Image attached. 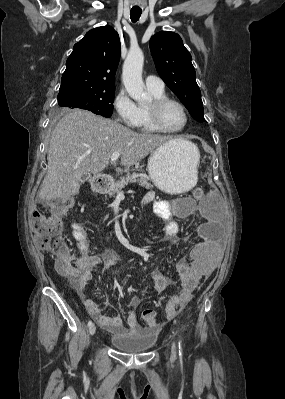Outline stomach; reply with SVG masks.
<instances>
[{
	"instance_id": "stomach-1",
	"label": "stomach",
	"mask_w": 285,
	"mask_h": 399,
	"mask_svg": "<svg viewBox=\"0 0 285 399\" xmlns=\"http://www.w3.org/2000/svg\"><path fill=\"white\" fill-rule=\"evenodd\" d=\"M200 153L190 141H168L152 151L147 170L160 190L169 194L188 191L197 182V166Z\"/></svg>"
}]
</instances>
